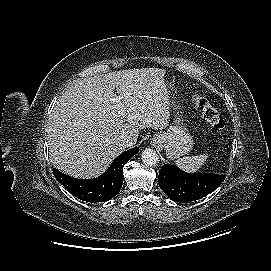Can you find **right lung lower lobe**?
<instances>
[{"mask_svg":"<svg viewBox=\"0 0 271 271\" xmlns=\"http://www.w3.org/2000/svg\"><path fill=\"white\" fill-rule=\"evenodd\" d=\"M138 152V148L123 152L98 178L77 179L61 173L56 168H53V174L75 197L87 202H105L119 193L123 184V167Z\"/></svg>","mask_w":271,"mask_h":271,"instance_id":"obj_1","label":"right lung lower lobe"}]
</instances>
